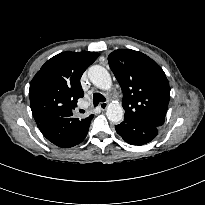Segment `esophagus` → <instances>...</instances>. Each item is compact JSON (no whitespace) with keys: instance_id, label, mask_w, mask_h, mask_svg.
Instances as JSON below:
<instances>
[{"instance_id":"1","label":"esophagus","mask_w":205,"mask_h":205,"mask_svg":"<svg viewBox=\"0 0 205 205\" xmlns=\"http://www.w3.org/2000/svg\"><path fill=\"white\" fill-rule=\"evenodd\" d=\"M107 106H108L107 102H101V103L99 104V108H100L101 110H105V109L107 108Z\"/></svg>"}]
</instances>
